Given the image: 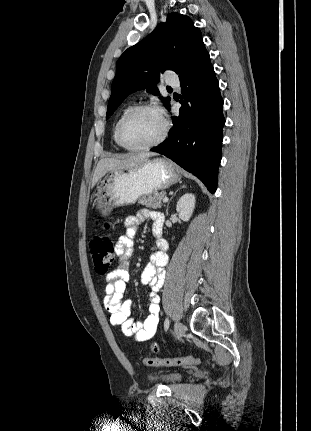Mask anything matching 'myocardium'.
Masks as SVG:
<instances>
[{"label":"myocardium","instance_id":"obj_1","mask_svg":"<svg viewBox=\"0 0 311 431\" xmlns=\"http://www.w3.org/2000/svg\"><path fill=\"white\" fill-rule=\"evenodd\" d=\"M144 110H155V111H158L160 113V115L162 117V121H163V130H162V133L152 142L145 144V145H141V146H132V145L128 144V142L126 141V138L124 135V127L130 118H132L134 115H136L137 113L144 111ZM168 132H169L168 120L164 117V115L160 112V110L157 107H155L154 105L149 104V103H143V104H139V105L134 106L133 108H131L129 111H127L120 118V120L117 124V135H118V139H119L121 145L125 149L133 150V151L148 150L150 148L156 147L162 141H164Z\"/></svg>","mask_w":311,"mask_h":431}]
</instances>
